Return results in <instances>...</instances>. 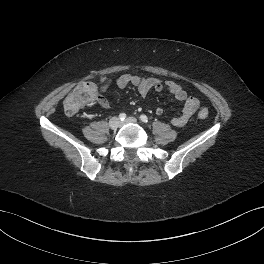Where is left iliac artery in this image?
<instances>
[{
    "instance_id": "obj_1",
    "label": "left iliac artery",
    "mask_w": 264,
    "mask_h": 264,
    "mask_svg": "<svg viewBox=\"0 0 264 264\" xmlns=\"http://www.w3.org/2000/svg\"><path fill=\"white\" fill-rule=\"evenodd\" d=\"M140 120H141L142 122H144V123H148V117H147L146 115H144V114H142V115L140 116Z\"/></svg>"
}]
</instances>
